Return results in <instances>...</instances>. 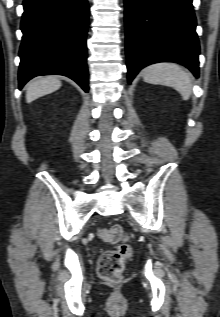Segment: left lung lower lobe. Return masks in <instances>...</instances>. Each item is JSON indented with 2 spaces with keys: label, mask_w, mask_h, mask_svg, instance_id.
Returning <instances> with one entry per match:
<instances>
[{
  "label": "left lung lower lobe",
  "mask_w": 220,
  "mask_h": 317,
  "mask_svg": "<svg viewBox=\"0 0 220 317\" xmlns=\"http://www.w3.org/2000/svg\"><path fill=\"white\" fill-rule=\"evenodd\" d=\"M128 82L145 66L173 61L199 76L192 0H124Z\"/></svg>",
  "instance_id": "left-lung-lower-lobe-1"
}]
</instances>
